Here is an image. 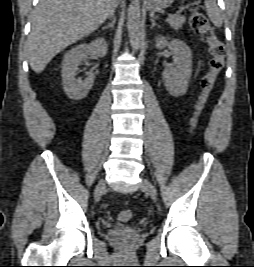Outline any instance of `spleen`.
Segmentation results:
<instances>
[{
  "label": "spleen",
  "mask_w": 254,
  "mask_h": 267,
  "mask_svg": "<svg viewBox=\"0 0 254 267\" xmlns=\"http://www.w3.org/2000/svg\"><path fill=\"white\" fill-rule=\"evenodd\" d=\"M206 13L216 27H221L223 18L217 6L216 0H205Z\"/></svg>",
  "instance_id": "obj_1"
}]
</instances>
